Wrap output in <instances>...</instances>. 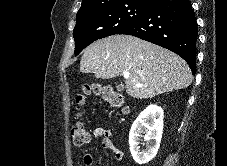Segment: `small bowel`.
Instances as JSON below:
<instances>
[{
    "mask_svg": "<svg viewBox=\"0 0 227 166\" xmlns=\"http://www.w3.org/2000/svg\"><path fill=\"white\" fill-rule=\"evenodd\" d=\"M93 134L95 137L101 139V146L105 149L110 150L113 153V156L116 161L121 162L125 158V153L124 151L120 150L115 146L113 143V132L107 128L104 127H96L93 130ZM83 163L80 164L79 166H94V158L92 155L86 153L84 154L82 158Z\"/></svg>",
    "mask_w": 227,
    "mask_h": 166,
    "instance_id": "1",
    "label": "small bowel"
}]
</instances>
